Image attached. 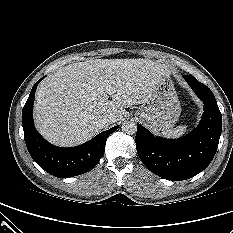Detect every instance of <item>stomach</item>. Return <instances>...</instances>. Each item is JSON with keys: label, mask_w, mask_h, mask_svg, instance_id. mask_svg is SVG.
Wrapping results in <instances>:
<instances>
[{"label": "stomach", "mask_w": 233, "mask_h": 233, "mask_svg": "<svg viewBox=\"0 0 233 233\" xmlns=\"http://www.w3.org/2000/svg\"><path fill=\"white\" fill-rule=\"evenodd\" d=\"M181 113L180 102L170 76H163L155 86L153 96L135 113L150 124L155 132L174 127Z\"/></svg>", "instance_id": "stomach-1"}]
</instances>
